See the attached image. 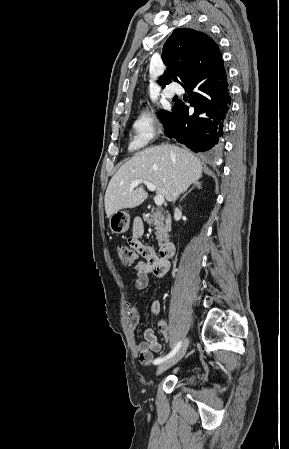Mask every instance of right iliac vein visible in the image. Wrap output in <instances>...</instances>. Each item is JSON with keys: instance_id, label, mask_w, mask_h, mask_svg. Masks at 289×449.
Masks as SVG:
<instances>
[{"instance_id": "63e3f726", "label": "right iliac vein", "mask_w": 289, "mask_h": 449, "mask_svg": "<svg viewBox=\"0 0 289 449\" xmlns=\"http://www.w3.org/2000/svg\"><path fill=\"white\" fill-rule=\"evenodd\" d=\"M188 344L189 340L186 339L181 348L176 352L174 356L159 364L156 374L160 375L161 373L175 365L178 361H180L188 348Z\"/></svg>"}]
</instances>
